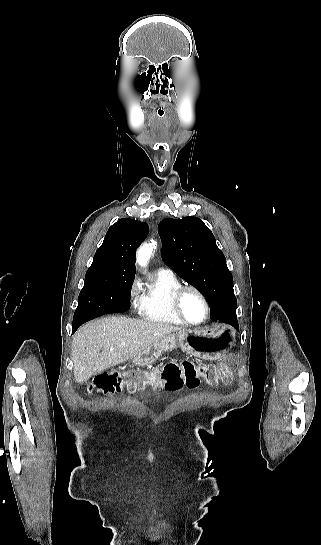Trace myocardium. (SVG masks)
<instances>
[{
  "label": "myocardium",
  "instance_id": "obj_1",
  "mask_svg": "<svg viewBox=\"0 0 321 545\" xmlns=\"http://www.w3.org/2000/svg\"><path fill=\"white\" fill-rule=\"evenodd\" d=\"M186 291H194L202 300V303L205 308V315L203 319L199 322L193 323L184 318V316L181 313L180 310V300L184 292ZM170 311L173 315V317L183 326L186 327H199L204 325L210 316V304L209 301L204 294V292L199 289L198 287L194 285H181L177 287L170 295V302H169Z\"/></svg>",
  "mask_w": 321,
  "mask_h": 545
}]
</instances>
